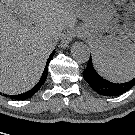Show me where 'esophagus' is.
Listing matches in <instances>:
<instances>
[{"label": "esophagus", "mask_w": 135, "mask_h": 135, "mask_svg": "<svg viewBox=\"0 0 135 135\" xmlns=\"http://www.w3.org/2000/svg\"><path fill=\"white\" fill-rule=\"evenodd\" d=\"M77 35V31L76 29H68L62 37L61 40V47L62 48H67L68 44L76 37Z\"/></svg>", "instance_id": "obj_1"}]
</instances>
